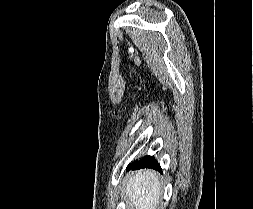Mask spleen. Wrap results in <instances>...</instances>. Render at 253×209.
Instances as JSON below:
<instances>
[{
    "label": "spleen",
    "instance_id": "spleen-1",
    "mask_svg": "<svg viewBox=\"0 0 253 209\" xmlns=\"http://www.w3.org/2000/svg\"><path fill=\"white\" fill-rule=\"evenodd\" d=\"M123 195L135 209H157L161 196L159 176L151 171L135 173L127 181Z\"/></svg>",
    "mask_w": 253,
    "mask_h": 209
}]
</instances>
